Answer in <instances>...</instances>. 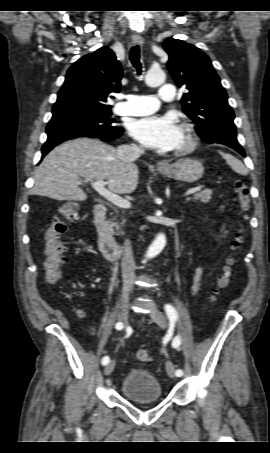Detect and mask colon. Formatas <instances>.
<instances>
[{
	"label": "colon",
	"mask_w": 270,
	"mask_h": 453,
	"mask_svg": "<svg viewBox=\"0 0 270 453\" xmlns=\"http://www.w3.org/2000/svg\"><path fill=\"white\" fill-rule=\"evenodd\" d=\"M233 188L238 198L240 211L243 214V217L246 218V213L249 211L251 205L248 186L242 180H236L233 184ZM79 211L80 206L76 202L69 201L62 204L59 208L58 214L54 217L49 229L46 232V260L44 267L45 279L50 284H55L61 279L62 265L66 260L64 255L65 246L63 244V238L68 231V224L79 218ZM242 240V231H239L231 242V249L236 251L240 247ZM234 265L235 259L230 257L218 279L217 289L214 292V296L218 295L222 290L226 289L230 285ZM136 357L139 362L144 364L152 361L151 354L144 349L138 350Z\"/></svg>",
	"instance_id": "1"
}]
</instances>
